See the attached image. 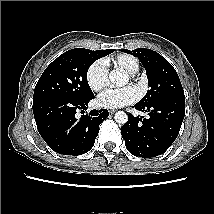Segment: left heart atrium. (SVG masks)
Wrapping results in <instances>:
<instances>
[{"instance_id": "1", "label": "left heart atrium", "mask_w": 214, "mask_h": 214, "mask_svg": "<svg viewBox=\"0 0 214 214\" xmlns=\"http://www.w3.org/2000/svg\"><path fill=\"white\" fill-rule=\"evenodd\" d=\"M138 91L133 86L120 89H109L99 95L97 103L104 108H120L134 103L138 99Z\"/></svg>"}]
</instances>
